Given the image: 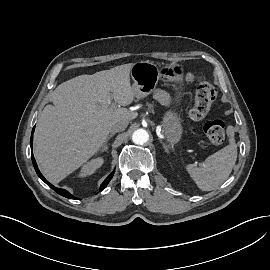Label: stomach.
I'll return each instance as SVG.
<instances>
[{
    "label": "stomach",
    "instance_id": "0dacf381",
    "mask_svg": "<svg viewBox=\"0 0 270 270\" xmlns=\"http://www.w3.org/2000/svg\"><path fill=\"white\" fill-rule=\"evenodd\" d=\"M183 75V66L176 62L158 67L150 61H138L131 68L134 95L138 99L146 97L154 90L160 79L164 82L182 83ZM162 126L171 146L180 140L182 128L175 112L169 111L165 114Z\"/></svg>",
    "mask_w": 270,
    "mask_h": 270
}]
</instances>
